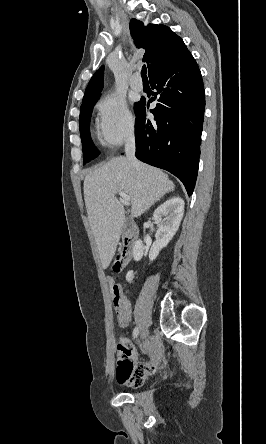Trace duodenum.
<instances>
[{"mask_svg": "<svg viewBox=\"0 0 266 444\" xmlns=\"http://www.w3.org/2000/svg\"><path fill=\"white\" fill-rule=\"evenodd\" d=\"M137 235H138V232H137L136 227H134L133 225H131L129 223L128 230L125 233V236L123 238L121 251L118 254L117 259H116L115 265L117 266V270L123 269L127 265L130 254H131V248H132L134 241L137 238Z\"/></svg>", "mask_w": 266, "mask_h": 444, "instance_id": "410a0bca", "label": "duodenum"}]
</instances>
